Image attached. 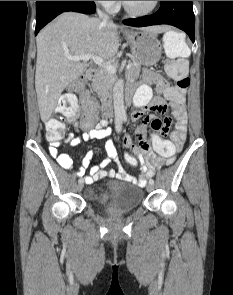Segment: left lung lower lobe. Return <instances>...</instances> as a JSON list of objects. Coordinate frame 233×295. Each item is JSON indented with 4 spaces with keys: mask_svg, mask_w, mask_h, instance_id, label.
Returning a JSON list of instances; mask_svg holds the SVG:
<instances>
[{
    "mask_svg": "<svg viewBox=\"0 0 233 295\" xmlns=\"http://www.w3.org/2000/svg\"><path fill=\"white\" fill-rule=\"evenodd\" d=\"M123 23L135 27L169 24L185 31L192 42L195 39V16L192 1H161V6L156 13L136 19H127Z\"/></svg>",
    "mask_w": 233,
    "mask_h": 295,
    "instance_id": "obj_1",
    "label": "left lung lower lobe"
}]
</instances>
